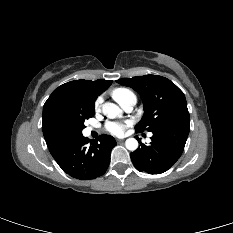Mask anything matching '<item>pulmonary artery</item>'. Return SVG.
I'll return each mask as SVG.
<instances>
[{"label": "pulmonary artery", "instance_id": "e3ab8cb5", "mask_svg": "<svg viewBox=\"0 0 233 233\" xmlns=\"http://www.w3.org/2000/svg\"><path fill=\"white\" fill-rule=\"evenodd\" d=\"M136 104V100L135 99H129L127 101H125L123 104H121L122 108L127 111L130 112L133 110L134 106ZM92 129L91 128H87V132L89 133Z\"/></svg>", "mask_w": 233, "mask_h": 233}]
</instances>
